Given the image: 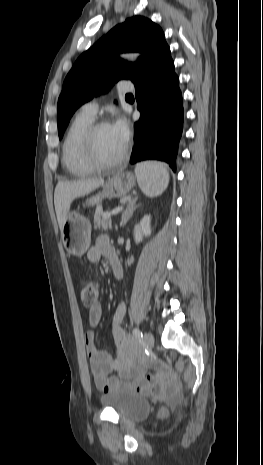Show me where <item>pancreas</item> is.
Listing matches in <instances>:
<instances>
[{
    "instance_id": "pancreas-1",
    "label": "pancreas",
    "mask_w": 263,
    "mask_h": 465,
    "mask_svg": "<svg viewBox=\"0 0 263 465\" xmlns=\"http://www.w3.org/2000/svg\"><path fill=\"white\" fill-rule=\"evenodd\" d=\"M103 212L101 210H96L94 215V227L99 230H108L112 227L111 219H104Z\"/></svg>"
}]
</instances>
